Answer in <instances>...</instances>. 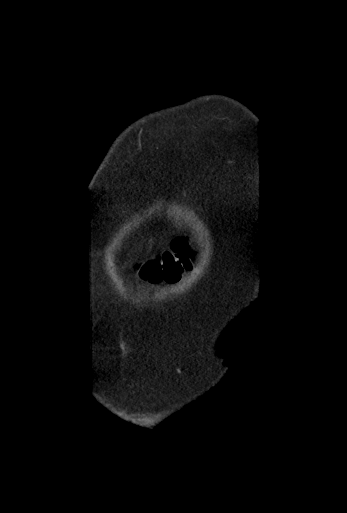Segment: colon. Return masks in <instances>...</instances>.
Returning a JSON list of instances; mask_svg holds the SVG:
<instances>
[{"label":"colon","instance_id":"colon-1","mask_svg":"<svg viewBox=\"0 0 347 513\" xmlns=\"http://www.w3.org/2000/svg\"><path fill=\"white\" fill-rule=\"evenodd\" d=\"M189 251L182 241L174 243L171 252L164 254L161 262L152 261L142 269V276L151 283L175 282L180 276L183 265L187 263Z\"/></svg>","mask_w":347,"mask_h":513}]
</instances>
